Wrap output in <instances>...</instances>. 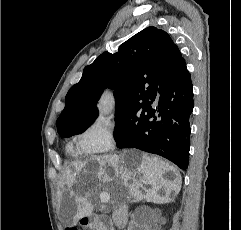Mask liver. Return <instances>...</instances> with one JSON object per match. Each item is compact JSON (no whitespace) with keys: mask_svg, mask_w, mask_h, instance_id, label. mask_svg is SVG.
<instances>
[{"mask_svg":"<svg viewBox=\"0 0 241 230\" xmlns=\"http://www.w3.org/2000/svg\"><path fill=\"white\" fill-rule=\"evenodd\" d=\"M90 161L96 164L95 167L90 168L88 161H76L72 164L73 169L66 171L67 190L77 205L74 224L92 214L93 205L87 198L95 195L97 188L105 184L111 186V200L118 206H121L124 198L128 196L134 197L136 201L166 204L174 200V197L170 196L171 193L176 196L181 189V175L175 166L136 150H127L121 155L92 156ZM108 168H111L110 173L107 171ZM169 172L174 176L172 180L164 178V174ZM90 175L96 178L93 189H89L84 197L78 196L72 186L80 182L84 176ZM147 185L150 188L147 189Z\"/></svg>","mask_w":241,"mask_h":230,"instance_id":"6515ba94","label":"liver"}]
</instances>
